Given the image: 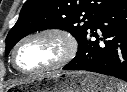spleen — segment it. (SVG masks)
I'll return each mask as SVG.
<instances>
[{
    "instance_id": "3e777b00",
    "label": "spleen",
    "mask_w": 127,
    "mask_h": 92,
    "mask_svg": "<svg viewBox=\"0 0 127 92\" xmlns=\"http://www.w3.org/2000/svg\"><path fill=\"white\" fill-rule=\"evenodd\" d=\"M117 92H127V85L122 82L117 83Z\"/></svg>"
}]
</instances>
